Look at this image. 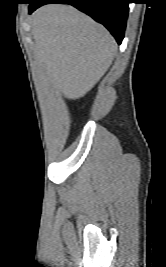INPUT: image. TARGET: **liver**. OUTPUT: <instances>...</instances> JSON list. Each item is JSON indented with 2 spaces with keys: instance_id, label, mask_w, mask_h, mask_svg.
Masks as SVG:
<instances>
[{
  "instance_id": "6515ba94",
  "label": "liver",
  "mask_w": 166,
  "mask_h": 267,
  "mask_svg": "<svg viewBox=\"0 0 166 267\" xmlns=\"http://www.w3.org/2000/svg\"><path fill=\"white\" fill-rule=\"evenodd\" d=\"M35 57L54 88L68 99L84 96L105 74L117 53L111 34L67 5H46L32 18Z\"/></svg>"
}]
</instances>
